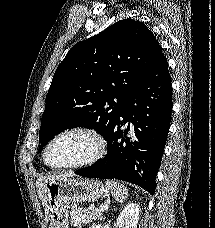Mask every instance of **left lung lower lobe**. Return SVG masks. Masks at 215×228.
Listing matches in <instances>:
<instances>
[{"label": "left lung lower lobe", "mask_w": 215, "mask_h": 228, "mask_svg": "<svg viewBox=\"0 0 215 228\" xmlns=\"http://www.w3.org/2000/svg\"><path fill=\"white\" fill-rule=\"evenodd\" d=\"M172 86L162 50L144 79L121 107L107 140L108 153L93 165L75 174L100 179H119L136 184L151 195L162 161L170 128ZM123 118V120H120ZM131 122L136 139L128 138L121 126Z\"/></svg>", "instance_id": "obj_1"}]
</instances>
